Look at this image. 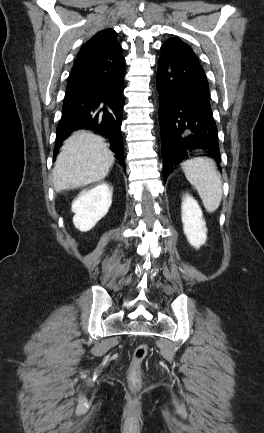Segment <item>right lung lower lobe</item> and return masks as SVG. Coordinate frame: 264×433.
I'll return each mask as SVG.
<instances>
[{
  "label": "right lung lower lobe",
  "mask_w": 264,
  "mask_h": 433,
  "mask_svg": "<svg viewBox=\"0 0 264 433\" xmlns=\"http://www.w3.org/2000/svg\"><path fill=\"white\" fill-rule=\"evenodd\" d=\"M124 60L76 59L66 87L55 151L74 130L89 129L109 139L125 167L121 134Z\"/></svg>",
  "instance_id": "1"
}]
</instances>
